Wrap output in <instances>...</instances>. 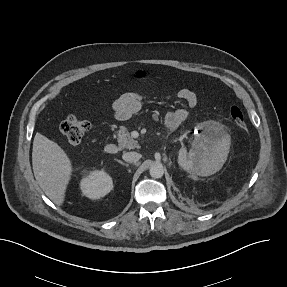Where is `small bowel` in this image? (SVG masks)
I'll return each instance as SVG.
<instances>
[{
    "instance_id": "obj_1",
    "label": "small bowel",
    "mask_w": 287,
    "mask_h": 287,
    "mask_svg": "<svg viewBox=\"0 0 287 287\" xmlns=\"http://www.w3.org/2000/svg\"><path fill=\"white\" fill-rule=\"evenodd\" d=\"M175 97L184 101L189 107H195L198 104L196 93L190 89L183 88L175 93ZM143 96L136 92H127L122 94L113 105L115 115L120 120H128L135 115L142 107ZM188 117V111L185 108H176L168 110L165 114V125L168 129H176Z\"/></svg>"
}]
</instances>
